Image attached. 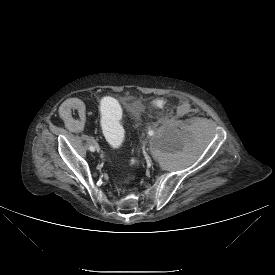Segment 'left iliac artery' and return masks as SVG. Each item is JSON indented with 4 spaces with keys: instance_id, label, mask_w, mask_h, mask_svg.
<instances>
[{
    "instance_id": "44dca946",
    "label": "left iliac artery",
    "mask_w": 275,
    "mask_h": 275,
    "mask_svg": "<svg viewBox=\"0 0 275 275\" xmlns=\"http://www.w3.org/2000/svg\"><path fill=\"white\" fill-rule=\"evenodd\" d=\"M148 134H149L150 136H152V135L154 134V131L150 130V131L148 132Z\"/></svg>"
}]
</instances>
